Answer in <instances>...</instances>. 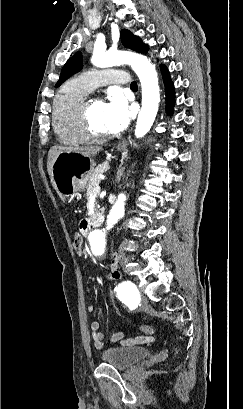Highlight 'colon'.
<instances>
[{
    "instance_id": "colon-1",
    "label": "colon",
    "mask_w": 243,
    "mask_h": 409,
    "mask_svg": "<svg viewBox=\"0 0 243 409\" xmlns=\"http://www.w3.org/2000/svg\"><path fill=\"white\" fill-rule=\"evenodd\" d=\"M83 247V238L80 233H75L73 236V248L77 254L82 253ZM141 330L145 334H152L154 329L150 325H142ZM176 353H178V349H176Z\"/></svg>"
}]
</instances>
